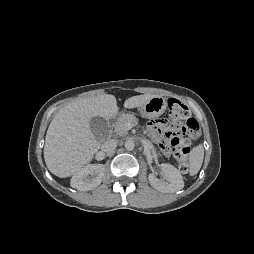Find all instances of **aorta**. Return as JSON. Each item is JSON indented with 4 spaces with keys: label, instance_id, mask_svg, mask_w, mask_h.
<instances>
[{
    "label": "aorta",
    "instance_id": "762f6f07",
    "mask_svg": "<svg viewBox=\"0 0 254 254\" xmlns=\"http://www.w3.org/2000/svg\"><path fill=\"white\" fill-rule=\"evenodd\" d=\"M134 147H135V143H134L133 140L128 139V140L125 141V148H126L127 150L131 151V150L134 149Z\"/></svg>",
    "mask_w": 254,
    "mask_h": 254
}]
</instances>
